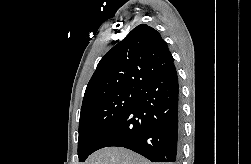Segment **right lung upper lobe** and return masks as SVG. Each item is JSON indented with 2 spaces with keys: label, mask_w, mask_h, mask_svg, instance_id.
<instances>
[{
  "label": "right lung upper lobe",
  "mask_w": 251,
  "mask_h": 164,
  "mask_svg": "<svg viewBox=\"0 0 251 164\" xmlns=\"http://www.w3.org/2000/svg\"><path fill=\"white\" fill-rule=\"evenodd\" d=\"M160 33L141 24L100 60L85 90L83 104L103 94L134 88L174 65Z\"/></svg>",
  "instance_id": "obj_1"
}]
</instances>
